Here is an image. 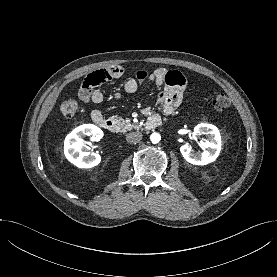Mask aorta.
<instances>
[{
	"label": "aorta",
	"instance_id": "obj_1",
	"mask_svg": "<svg viewBox=\"0 0 277 277\" xmlns=\"http://www.w3.org/2000/svg\"><path fill=\"white\" fill-rule=\"evenodd\" d=\"M150 140L152 143L156 144V143L160 142L161 136L158 133H152L150 136Z\"/></svg>",
	"mask_w": 277,
	"mask_h": 277
}]
</instances>
